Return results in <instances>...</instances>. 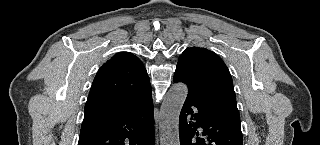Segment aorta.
I'll return each instance as SVG.
<instances>
[{
  "instance_id": "762f6f07",
  "label": "aorta",
  "mask_w": 320,
  "mask_h": 145,
  "mask_svg": "<svg viewBox=\"0 0 320 145\" xmlns=\"http://www.w3.org/2000/svg\"><path fill=\"white\" fill-rule=\"evenodd\" d=\"M186 84L177 83L166 94L160 110L161 145H179V115L187 97Z\"/></svg>"
}]
</instances>
